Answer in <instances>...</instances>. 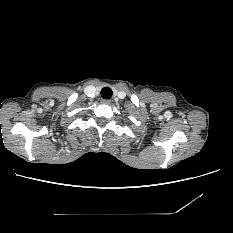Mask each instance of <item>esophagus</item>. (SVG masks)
<instances>
[{
	"label": "esophagus",
	"mask_w": 233,
	"mask_h": 233,
	"mask_svg": "<svg viewBox=\"0 0 233 233\" xmlns=\"http://www.w3.org/2000/svg\"><path fill=\"white\" fill-rule=\"evenodd\" d=\"M101 103H102V104H110L111 101L108 100V99H102V100H101Z\"/></svg>",
	"instance_id": "obj_1"
}]
</instances>
